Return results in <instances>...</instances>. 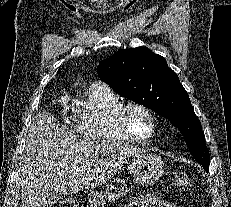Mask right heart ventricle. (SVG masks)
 I'll list each match as a JSON object with an SVG mask.
<instances>
[{"label":"right heart ventricle","mask_w":231,"mask_h":207,"mask_svg":"<svg viewBox=\"0 0 231 207\" xmlns=\"http://www.w3.org/2000/svg\"><path fill=\"white\" fill-rule=\"evenodd\" d=\"M121 103V99L107 85L94 84L85 102L75 109L73 117L75 129L83 138L92 141H130L120 131L114 117Z\"/></svg>","instance_id":"e07e8e85"}]
</instances>
